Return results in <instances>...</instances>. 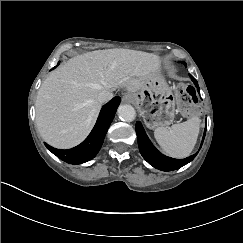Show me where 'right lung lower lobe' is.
Listing matches in <instances>:
<instances>
[{"instance_id":"98d812e1","label":"right lung lower lobe","mask_w":243,"mask_h":243,"mask_svg":"<svg viewBox=\"0 0 243 243\" xmlns=\"http://www.w3.org/2000/svg\"><path fill=\"white\" fill-rule=\"evenodd\" d=\"M120 101V97H114L102 107L93 130L80 145L69 150H59L47 143H45V146L58 158L70 164H81L93 159L103 144Z\"/></svg>"}]
</instances>
